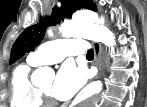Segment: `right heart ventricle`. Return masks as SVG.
I'll return each mask as SVG.
<instances>
[{
    "label": "right heart ventricle",
    "mask_w": 147,
    "mask_h": 107,
    "mask_svg": "<svg viewBox=\"0 0 147 107\" xmlns=\"http://www.w3.org/2000/svg\"><path fill=\"white\" fill-rule=\"evenodd\" d=\"M38 64L28 60L17 66L12 74L10 102L12 107H42L36 87L30 79L31 68Z\"/></svg>",
    "instance_id": "right-heart-ventricle-1"
}]
</instances>
